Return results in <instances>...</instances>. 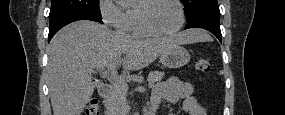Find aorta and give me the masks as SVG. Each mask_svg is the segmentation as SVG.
Wrapping results in <instances>:
<instances>
[{
	"label": "aorta",
	"instance_id": "762f6f07",
	"mask_svg": "<svg viewBox=\"0 0 285 115\" xmlns=\"http://www.w3.org/2000/svg\"><path fill=\"white\" fill-rule=\"evenodd\" d=\"M117 2H118L119 4H123V3L125 2V0H117Z\"/></svg>",
	"mask_w": 285,
	"mask_h": 115
}]
</instances>
